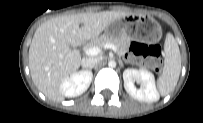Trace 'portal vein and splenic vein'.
Wrapping results in <instances>:
<instances>
[{"mask_svg":"<svg viewBox=\"0 0 203 123\" xmlns=\"http://www.w3.org/2000/svg\"><path fill=\"white\" fill-rule=\"evenodd\" d=\"M101 48L112 49L114 51L117 50V47L114 44H112V43H105L101 47L94 46V47L88 48L86 50V54L87 55H91V56H96V55H98L101 52Z\"/></svg>","mask_w":203,"mask_h":123,"instance_id":"portal-vein-and-splenic-vein-1","label":"portal vein and splenic vein"}]
</instances>
